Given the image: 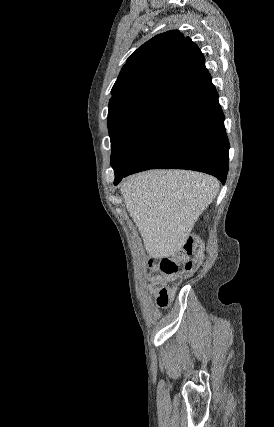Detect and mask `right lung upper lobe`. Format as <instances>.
I'll return each instance as SVG.
<instances>
[{
    "label": "right lung upper lobe",
    "instance_id": "right-lung-upper-lobe-1",
    "mask_svg": "<svg viewBox=\"0 0 274 427\" xmlns=\"http://www.w3.org/2000/svg\"><path fill=\"white\" fill-rule=\"evenodd\" d=\"M211 82L197 45L177 30L159 34L126 61L112 90L109 110L153 94L175 102Z\"/></svg>",
    "mask_w": 274,
    "mask_h": 427
}]
</instances>
